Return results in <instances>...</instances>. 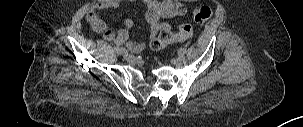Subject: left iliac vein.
Masks as SVG:
<instances>
[{"label": "left iliac vein", "instance_id": "4c4485c4", "mask_svg": "<svg viewBox=\"0 0 303 127\" xmlns=\"http://www.w3.org/2000/svg\"><path fill=\"white\" fill-rule=\"evenodd\" d=\"M184 56L183 55H179V57L177 58V61L178 62H182V61H184Z\"/></svg>", "mask_w": 303, "mask_h": 127}]
</instances>
